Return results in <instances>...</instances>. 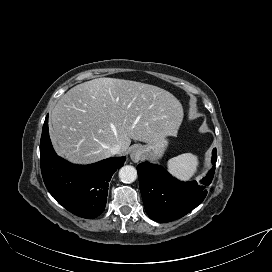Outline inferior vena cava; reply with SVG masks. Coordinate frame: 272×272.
I'll return each instance as SVG.
<instances>
[{
    "label": "inferior vena cava",
    "instance_id": "1",
    "mask_svg": "<svg viewBox=\"0 0 272 272\" xmlns=\"http://www.w3.org/2000/svg\"><path fill=\"white\" fill-rule=\"evenodd\" d=\"M109 150H110L112 155H115V154L120 152L121 146L116 144V145H113L112 147H110Z\"/></svg>",
    "mask_w": 272,
    "mask_h": 272
}]
</instances>
